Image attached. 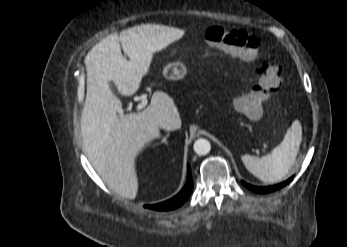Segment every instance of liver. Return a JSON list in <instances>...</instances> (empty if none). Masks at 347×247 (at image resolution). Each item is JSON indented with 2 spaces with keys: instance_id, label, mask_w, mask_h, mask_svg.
Listing matches in <instances>:
<instances>
[{
  "instance_id": "6515ba94",
  "label": "liver",
  "mask_w": 347,
  "mask_h": 247,
  "mask_svg": "<svg viewBox=\"0 0 347 247\" xmlns=\"http://www.w3.org/2000/svg\"><path fill=\"white\" fill-rule=\"evenodd\" d=\"M183 34L181 29L158 24L134 26L120 35H108L85 58L87 93L81 134L87 157L110 188L128 199H134L138 192L136 157L160 138V120L172 118L177 128L181 120L173 99L162 91L153 94L143 111L118 117L122 102L112 93L109 82L121 95H133L149 72L153 54Z\"/></svg>"
}]
</instances>
